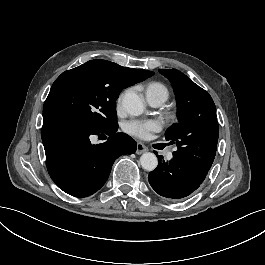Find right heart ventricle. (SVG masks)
I'll use <instances>...</instances> for the list:
<instances>
[{
    "instance_id": "e07e8e85",
    "label": "right heart ventricle",
    "mask_w": 265,
    "mask_h": 265,
    "mask_svg": "<svg viewBox=\"0 0 265 265\" xmlns=\"http://www.w3.org/2000/svg\"><path fill=\"white\" fill-rule=\"evenodd\" d=\"M142 90L147 100L156 102L158 105L168 100L170 92L168 87L156 80L147 81L142 85Z\"/></svg>"
}]
</instances>
